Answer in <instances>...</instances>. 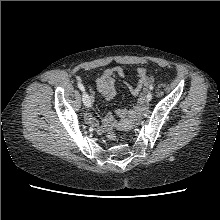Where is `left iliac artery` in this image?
Here are the masks:
<instances>
[{"mask_svg":"<svg viewBox=\"0 0 220 220\" xmlns=\"http://www.w3.org/2000/svg\"><path fill=\"white\" fill-rule=\"evenodd\" d=\"M153 88H154V87H153L152 85L149 87L150 90H153Z\"/></svg>","mask_w":220,"mask_h":220,"instance_id":"1","label":"left iliac artery"}]
</instances>
